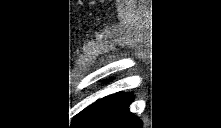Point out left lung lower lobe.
<instances>
[{"instance_id":"1","label":"left lung lower lobe","mask_w":221,"mask_h":128,"mask_svg":"<svg viewBox=\"0 0 221 128\" xmlns=\"http://www.w3.org/2000/svg\"><path fill=\"white\" fill-rule=\"evenodd\" d=\"M133 96L113 94L98 100L76 115L71 128H141L142 121L129 111Z\"/></svg>"}]
</instances>
